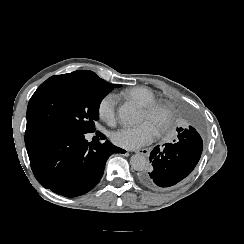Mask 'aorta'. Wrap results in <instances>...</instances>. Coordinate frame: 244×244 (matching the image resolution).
Instances as JSON below:
<instances>
[{"mask_svg":"<svg viewBox=\"0 0 244 244\" xmlns=\"http://www.w3.org/2000/svg\"><path fill=\"white\" fill-rule=\"evenodd\" d=\"M120 121L126 126H133L140 121L138 109L130 102H126L118 111ZM131 167L136 171H142L147 166V159L142 154H135L130 159Z\"/></svg>","mask_w":244,"mask_h":244,"instance_id":"aorta-1","label":"aorta"}]
</instances>
